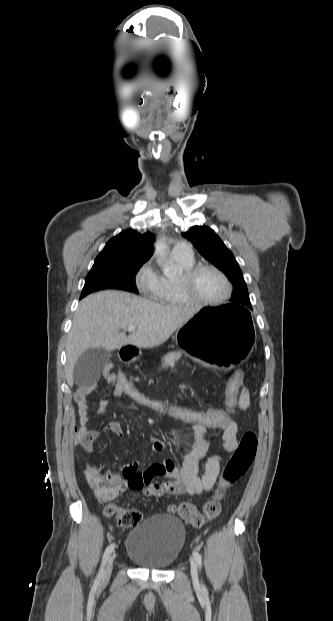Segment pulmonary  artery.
<instances>
[{
    "instance_id": "e3ab8cb5",
    "label": "pulmonary artery",
    "mask_w": 333,
    "mask_h": 621,
    "mask_svg": "<svg viewBox=\"0 0 333 621\" xmlns=\"http://www.w3.org/2000/svg\"><path fill=\"white\" fill-rule=\"evenodd\" d=\"M172 254L183 257V258H193V251L190 245L184 241L178 242L172 248Z\"/></svg>"
}]
</instances>
